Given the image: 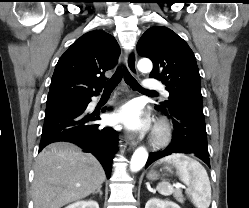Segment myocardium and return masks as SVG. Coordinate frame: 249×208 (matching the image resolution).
I'll list each match as a JSON object with an SVG mask.
<instances>
[{
	"label": "myocardium",
	"mask_w": 249,
	"mask_h": 208,
	"mask_svg": "<svg viewBox=\"0 0 249 208\" xmlns=\"http://www.w3.org/2000/svg\"><path fill=\"white\" fill-rule=\"evenodd\" d=\"M171 138V128L165 121L158 122L155 127L152 142L156 146L165 145Z\"/></svg>",
	"instance_id": "1"
}]
</instances>
